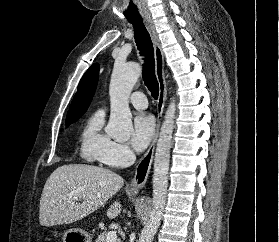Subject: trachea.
<instances>
[{"label": "trachea", "mask_w": 279, "mask_h": 242, "mask_svg": "<svg viewBox=\"0 0 279 242\" xmlns=\"http://www.w3.org/2000/svg\"><path fill=\"white\" fill-rule=\"evenodd\" d=\"M133 25L135 42L140 54L144 56L142 77L154 99L159 96V83L155 74L154 49L151 37L142 20L129 21Z\"/></svg>", "instance_id": "3493384b"}]
</instances>
